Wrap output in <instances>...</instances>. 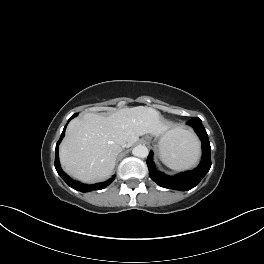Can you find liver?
<instances>
[{
	"label": "liver",
	"instance_id": "1",
	"mask_svg": "<svg viewBox=\"0 0 264 264\" xmlns=\"http://www.w3.org/2000/svg\"><path fill=\"white\" fill-rule=\"evenodd\" d=\"M178 131L168 130L159 112L147 106L123 108L108 117L86 113L69 123L60 145V162L82 182L100 181L111 175L122 148L131 147L140 136L151 134L169 140Z\"/></svg>",
	"mask_w": 264,
	"mask_h": 264
}]
</instances>
